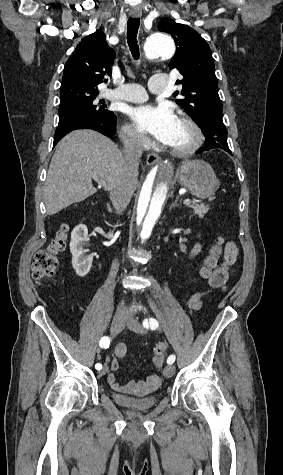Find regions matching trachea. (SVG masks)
I'll return each instance as SVG.
<instances>
[{
	"mask_svg": "<svg viewBox=\"0 0 283 475\" xmlns=\"http://www.w3.org/2000/svg\"><path fill=\"white\" fill-rule=\"evenodd\" d=\"M140 26L139 18H129L127 22V43L134 60L139 59V46L137 43V33Z\"/></svg>",
	"mask_w": 283,
	"mask_h": 475,
	"instance_id": "3493384b",
	"label": "trachea"
}]
</instances>
